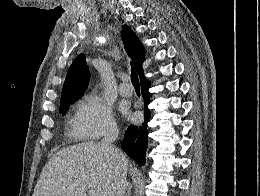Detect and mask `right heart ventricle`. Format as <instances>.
I'll return each instance as SVG.
<instances>
[{
    "label": "right heart ventricle",
    "instance_id": "e07e8e85",
    "mask_svg": "<svg viewBox=\"0 0 260 196\" xmlns=\"http://www.w3.org/2000/svg\"><path fill=\"white\" fill-rule=\"evenodd\" d=\"M66 192H82V190H66Z\"/></svg>",
    "mask_w": 260,
    "mask_h": 196
}]
</instances>
